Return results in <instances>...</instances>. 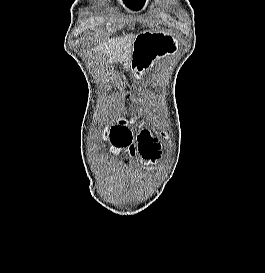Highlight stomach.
<instances>
[{"label": "stomach", "mask_w": 265, "mask_h": 273, "mask_svg": "<svg viewBox=\"0 0 265 273\" xmlns=\"http://www.w3.org/2000/svg\"><path fill=\"white\" fill-rule=\"evenodd\" d=\"M177 43L172 36L164 32L143 31L133 42L131 65L137 77L152 69L165 56L173 54Z\"/></svg>", "instance_id": "0dacf381"}]
</instances>
